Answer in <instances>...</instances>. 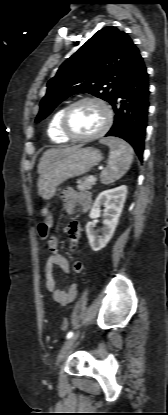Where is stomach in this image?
Listing matches in <instances>:
<instances>
[{"mask_svg":"<svg viewBox=\"0 0 168 415\" xmlns=\"http://www.w3.org/2000/svg\"><path fill=\"white\" fill-rule=\"evenodd\" d=\"M103 159L102 153L94 147L76 146L66 155L55 160L38 179V193L44 199H51L59 185L70 178L90 171Z\"/></svg>","mask_w":168,"mask_h":415,"instance_id":"1","label":"stomach"}]
</instances>
